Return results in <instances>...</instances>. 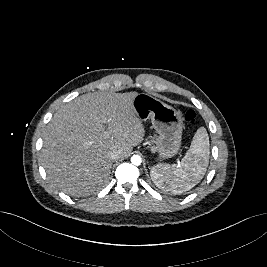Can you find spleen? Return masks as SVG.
<instances>
[{
	"instance_id": "3e777b00",
	"label": "spleen",
	"mask_w": 267,
	"mask_h": 267,
	"mask_svg": "<svg viewBox=\"0 0 267 267\" xmlns=\"http://www.w3.org/2000/svg\"><path fill=\"white\" fill-rule=\"evenodd\" d=\"M209 136L204 127L195 133L191 146L181 161L173 165L152 168L150 175L155 185L165 192L180 194L192 189L203 178L209 163Z\"/></svg>"
}]
</instances>
